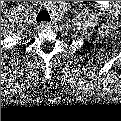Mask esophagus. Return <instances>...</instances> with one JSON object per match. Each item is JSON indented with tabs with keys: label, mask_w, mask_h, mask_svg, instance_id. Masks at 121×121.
Here are the masks:
<instances>
[{
	"label": "esophagus",
	"mask_w": 121,
	"mask_h": 121,
	"mask_svg": "<svg viewBox=\"0 0 121 121\" xmlns=\"http://www.w3.org/2000/svg\"><path fill=\"white\" fill-rule=\"evenodd\" d=\"M49 27H50V24L47 22H42V24H40V28L47 29Z\"/></svg>",
	"instance_id": "34e87169"
}]
</instances>
